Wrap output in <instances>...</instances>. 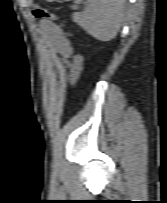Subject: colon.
<instances>
[{
	"label": "colon",
	"mask_w": 167,
	"mask_h": 203,
	"mask_svg": "<svg viewBox=\"0 0 167 203\" xmlns=\"http://www.w3.org/2000/svg\"><path fill=\"white\" fill-rule=\"evenodd\" d=\"M33 15L36 18L44 19L51 22H57L61 27H64V23L56 16L54 13L50 12L49 10L41 7L35 6L33 9ZM65 35L69 38H72L73 35L69 30L65 31ZM83 71V56L80 52L74 55V68L71 73L70 83L72 89H74L78 83V80Z\"/></svg>",
	"instance_id": "1"
}]
</instances>
